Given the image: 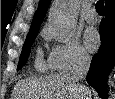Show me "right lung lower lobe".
Here are the masks:
<instances>
[{
	"mask_svg": "<svg viewBox=\"0 0 115 99\" xmlns=\"http://www.w3.org/2000/svg\"><path fill=\"white\" fill-rule=\"evenodd\" d=\"M104 13L99 26L101 46L92 58L86 80L105 99L107 76L115 64V5L105 8Z\"/></svg>",
	"mask_w": 115,
	"mask_h": 99,
	"instance_id": "obj_1",
	"label": "right lung lower lobe"
}]
</instances>
